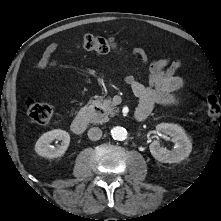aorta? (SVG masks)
Segmentation results:
<instances>
[{"mask_svg": "<svg viewBox=\"0 0 221 221\" xmlns=\"http://www.w3.org/2000/svg\"><path fill=\"white\" fill-rule=\"evenodd\" d=\"M111 135L115 140L123 141L127 138V131L123 127L116 126L112 128Z\"/></svg>", "mask_w": 221, "mask_h": 221, "instance_id": "obj_1", "label": "aorta"}]
</instances>
